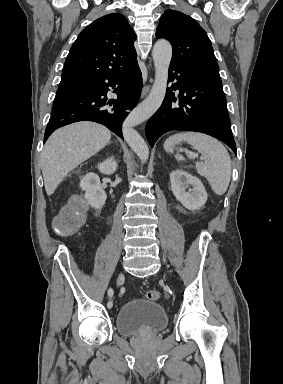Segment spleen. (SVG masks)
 Masks as SVG:
<instances>
[{
	"label": "spleen",
	"instance_id": "3e777b00",
	"mask_svg": "<svg viewBox=\"0 0 283 384\" xmlns=\"http://www.w3.org/2000/svg\"><path fill=\"white\" fill-rule=\"evenodd\" d=\"M180 142H187L193 150H197L199 154L207 158L205 162H196V170L199 176L206 178L217 196H223L227 192L231 178V158L225 146L206 134L185 132V134H175L164 142L166 152L173 154L174 144H180ZM175 158L178 162L185 160L180 154H177Z\"/></svg>",
	"mask_w": 283,
	"mask_h": 384
}]
</instances>
